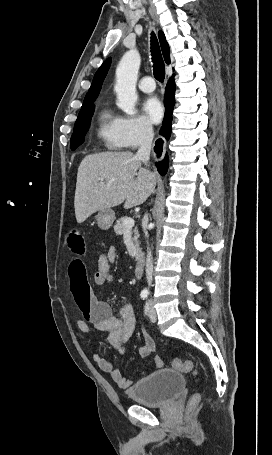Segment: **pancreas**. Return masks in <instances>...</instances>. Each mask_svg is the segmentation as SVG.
Listing matches in <instances>:
<instances>
[{
  "mask_svg": "<svg viewBox=\"0 0 272 455\" xmlns=\"http://www.w3.org/2000/svg\"><path fill=\"white\" fill-rule=\"evenodd\" d=\"M125 219H126V217H121L120 219L117 220L116 224L114 225V232L116 233V235H121L125 231V227H124V220ZM133 233H134V237H133L134 246L137 249H139V242H138L139 233H138V229L135 228L133 230Z\"/></svg>",
  "mask_w": 272,
  "mask_h": 455,
  "instance_id": "1",
  "label": "pancreas"
}]
</instances>
